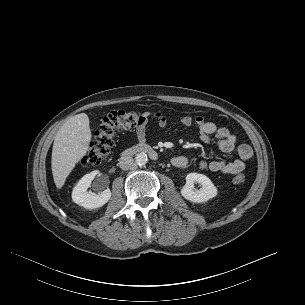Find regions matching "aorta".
Listing matches in <instances>:
<instances>
[{
	"label": "aorta",
	"instance_id": "aorta-1",
	"mask_svg": "<svg viewBox=\"0 0 305 305\" xmlns=\"http://www.w3.org/2000/svg\"><path fill=\"white\" fill-rule=\"evenodd\" d=\"M148 161V158H147V155L145 153H138L136 154L135 156V162L139 165V166H142V165H145Z\"/></svg>",
	"mask_w": 305,
	"mask_h": 305
}]
</instances>
